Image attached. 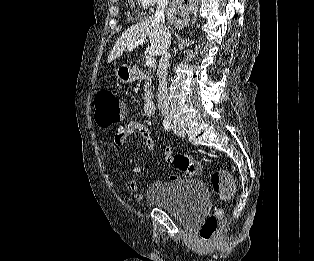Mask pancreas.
<instances>
[{"label":"pancreas","mask_w":314,"mask_h":261,"mask_svg":"<svg viewBox=\"0 0 314 261\" xmlns=\"http://www.w3.org/2000/svg\"><path fill=\"white\" fill-rule=\"evenodd\" d=\"M152 77L147 76V82L145 85V98H152V92H151V83H152Z\"/></svg>","instance_id":"pancreas-1"}]
</instances>
